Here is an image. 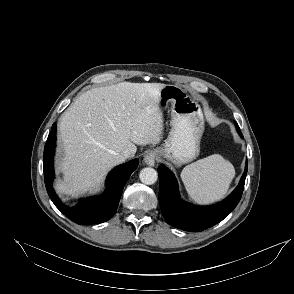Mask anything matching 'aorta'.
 Wrapping results in <instances>:
<instances>
[{
	"label": "aorta",
	"instance_id": "aorta-1",
	"mask_svg": "<svg viewBox=\"0 0 294 294\" xmlns=\"http://www.w3.org/2000/svg\"><path fill=\"white\" fill-rule=\"evenodd\" d=\"M139 177L142 183L152 185L157 181L158 174L155 169L146 167L140 171Z\"/></svg>",
	"mask_w": 294,
	"mask_h": 294
}]
</instances>
